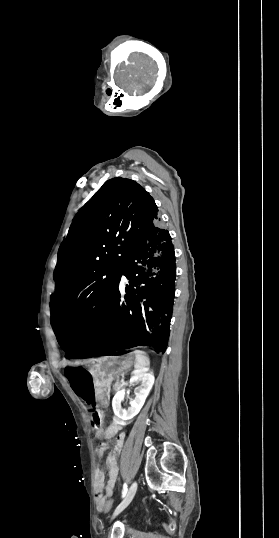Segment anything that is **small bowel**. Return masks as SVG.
<instances>
[{
    "instance_id": "c3829d8e",
    "label": "small bowel",
    "mask_w": 279,
    "mask_h": 538,
    "mask_svg": "<svg viewBox=\"0 0 279 538\" xmlns=\"http://www.w3.org/2000/svg\"><path fill=\"white\" fill-rule=\"evenodd\" d=\"M66 378L74 394L92 410L91 426L95 435L101 440L96 452L102 456L108 449L107 440L115 437L114 451L106 459L108 478L105 481V473L102 469L96 471L97 503L101 507L105 499L113 495L118 478L117 454L120 452L125 434L121 433L123 423L112 422L108 427H103L104 411L99 406L95 395V385L92 375L84 369H70Z\"/></svg>"
}]
</instances>
